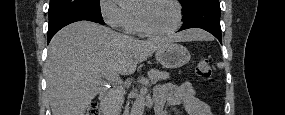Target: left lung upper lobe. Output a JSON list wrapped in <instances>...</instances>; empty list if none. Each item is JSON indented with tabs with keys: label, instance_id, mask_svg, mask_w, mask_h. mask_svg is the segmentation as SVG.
Masks as SVG:
<instances>
[{
	"label": "left lung upper lobe",
	"instance_id": "5c2ea615",
	"mask_svg": "<svg viewBox=\"0 0 285 115\" xmlns=\"http://www.w3.org/2000/svg\"><path fill=\"white\" fill-rule=\"evenodd\" d=\"M202 0H179L181 3L183 9L182 13H185L190 7H192L194 4L200 2Z\"/></svg>",
	"mask_w": 285,
	"mask_h": 115
}]
</instances>
